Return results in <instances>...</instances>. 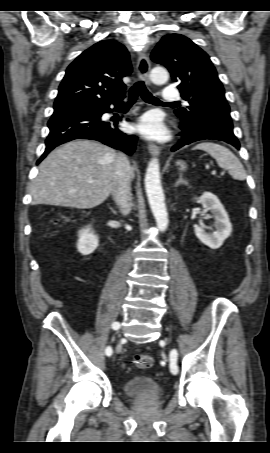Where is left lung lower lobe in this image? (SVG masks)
Here are the masks:
<instances>
[{
    "mask_svg": "<svg viewBox=\"0 0 270 453\" xmlns=\"http://www.w3.org/2000/svg\"><path fill=\"white\" fill-rule=\"evenodd\" d=\"M180 129L182 130L180 135L183 137V139L177 145L172 147V151H176L180 147L191 142L204 139L220 140L233 145L236 149L240 148V144L234 135L210 127L202 120H195L193 122H181Z\"/></svg>",
    "mask_w": 270,
    "mask_h": 453,
    "instance_id": "left-lung-lower-lobe-1",
    "label": "left lung lower lobe"
}]
</instances>
